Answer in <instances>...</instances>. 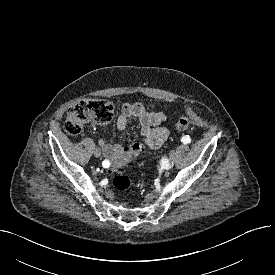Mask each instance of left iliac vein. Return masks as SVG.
Instances as JSON below:
<instances>
[{
    "label": "left iliac vein",
    "mask_w": 275,
    "mask_h": 275,
    "mask_svg": "<svg viewBox=\"0 0 275 275\" xmlns=\"http://www.w3.org/2000/svg\"><path fill=\"white\" fill-rule=\"evenodd\" d=\"M175 158H176V151H175V150H172V151L170 152V157H169L170 160H169V163H168V167L173 166V163H174Z\"/></svg>",
    "instance_id": "1"
}]
</instances>
